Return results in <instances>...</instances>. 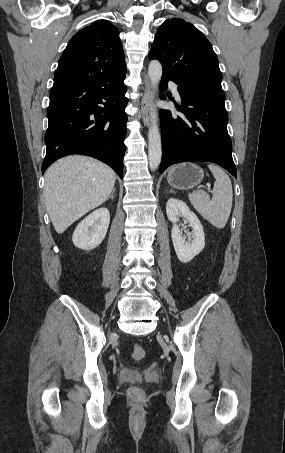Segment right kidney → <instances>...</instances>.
Wrapping results in <instances>:
<instances>
[{"mask_svg": "<svg viewBox=\"0 0 285 453\" xmlns=\"http://www.w3.org/2000/svg\"><path fill=\"white\" fill-rule=\"evenodd\" d=\"M110 223V213L102 207L84 218L76 227L72 241L83 250H92L104 240Z\"/></svg>", "mask_w": 285, "mask_h": 453, "instance_id": "1", "label": "right kidney"}]
</instances>
